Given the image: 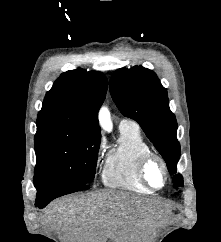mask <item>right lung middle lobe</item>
Returning <instances> with one entry per match:
<instances>
[{
  "label": "right lung middle lobe",
  "mask_w": 221,
  "mask_h": 242,
  "mask_svg": "<svg viewBox=\"0 0 221 242\" xmlns=\"http://www.w3.org/2000/svg\"><path fill=\"white\" fill-rule=\"evenodd\" d=\"M34 182L87 184L93 180L101 135L67 126L37 128Z\"/></svg>",
  "instance_id": "obj_1"
}]
</instances>
